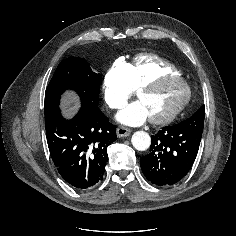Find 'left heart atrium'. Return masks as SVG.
Returning <instances> with one entry per match:
<instances>
[{"label": "left heart atrium", "mask_w": 236, "mask_h": 236, "mask_svg": "<svg viewBox=\"0 0 236 236\" xmlns=\"http://www.w3.org/2000/svg\"><path fill=\"white\" fill-rule=\"evenodd\" d=\"M148 118L149 113L140 100L127 105L117 114L118 121L132 126L140 125Z\"/></svg>", "instance_id": "1"}]
</instances>
